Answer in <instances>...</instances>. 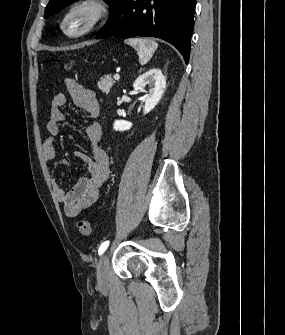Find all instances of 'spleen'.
Instances as JSON below:
<instances>
[{
    "instance_id": "obj_1",
    "label": "spleen",
    "mask_w": 285,
    "mask_h": 335,
    "mask_svg": "<svg viewBox=\"0 0 285 335\" xmlns=\"http://www.w3.org/2000/svg\"><path fill=\"white\" fill-rule=\"evenodd\" d=\"M125 44L135 48L138 52L139 62L141 66L147 64L151 60L155 50L158 48L157 42H154L152 38H129V40H124Z\"/></svg>"
}]
</instances>
